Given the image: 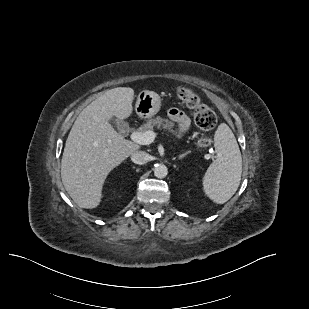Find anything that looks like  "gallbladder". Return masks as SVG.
I'll use <instances>...</instances> for the list:
<instances>
[{
  "label": "gallbladder",
  "mask_w": 309,
  "mask_h": 309,
  "mask_svg": "<svg viewBox=\"0 0 309 309\" xmlns=\"http://www.w3.org/2000/svg\"><path fill=\"white\" fill-rule=\"evenodd\" d=\"M113 121V123L115 124L116 128L119 131H123V130H127L128 129V124L126 122H124L123 120H119V119H111Z\"/></svg>",
  "instance_id": "gallbladder-1"
}]
</instances>
